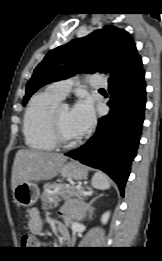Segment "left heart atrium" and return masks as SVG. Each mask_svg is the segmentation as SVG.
Masks as SVG:
<instances>
[{
    "instance_id": "1",
    "label": "left heart atrium",
    "mask_w": 162,
    "mask_h": 261,
    "mask_svg": "<svg viewBox=\"0 0 162 261\" xmlns=\"http://www.w3.org/2000/svg\"><path fill=\"white\" fill-rule=\"evenodd\" d=\"M70 119L75 130L80 134L86 133L94 124V109L89 99L79 100L70 111Z\"/></svg>"
}]
</instances>
